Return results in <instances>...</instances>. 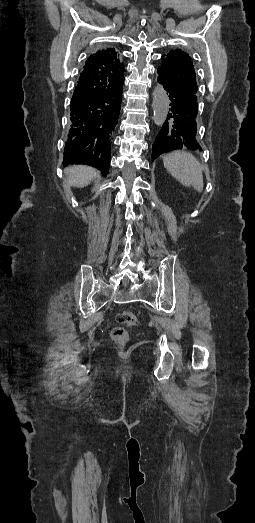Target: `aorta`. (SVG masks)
Segmentation results:
<instances>
[{
	"mask_svg": "<svg viewBox=\"0 0 255 523\" xmlns=\"http://www.w3.org/2000/svg\"><path fill=\"white\" fill-rule=\"evenodd\" d=\"M153 120L157 126H162L169 110V98L164 87L157 84L153 91Z\"/></svg>",
	"mask_w": 255,
	"mask_h": 523,
	"instance_id": "1",
	"label": "aorta"
}]
</instances>
